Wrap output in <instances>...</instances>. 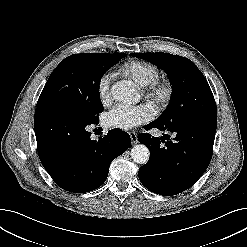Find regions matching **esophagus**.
<instances>
[{"mask_svg":"<svg viewBox=\"0 0 247 247\" xmlns=\"http://www.w3.org/2000/svg\"><path fill=\"white\" fill-rule=\"evenodd\" d=\"M129 135L131 137L132 144L133 145L137 144L138 143L137 134L135 132H129Z\"/></svg>","mask_w":247,"mask_h":247,"instance_id":"34e87169","label":"esophagus"}]
</instances>
